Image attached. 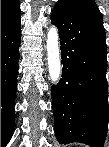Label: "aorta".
<instances>
[{
	"mask_svg": "<svg viewBox=\"0 0 109 147\" xmlns=\"http://www.w3.org/2000/svg\"><path fill=\"white\" fill-rule=\"evenodd\" d=\"M47 60L50 79L56 84L61 76V56L59 34L56 26H51L47 34Z\"/></svg>",
	"mask_w": 109,
	"mask_h": 147,
	"instance_id": "aorta-1",
	"label": "aorta"
}]
</instances>
